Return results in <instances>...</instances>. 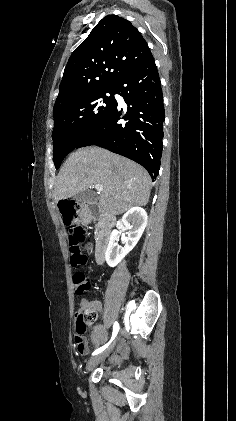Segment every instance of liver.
I'll return each mask as SVG.
<instances>
[{"label": "liver", "mask_w": 236, "mask_h": 421, "mask_svg": "<svg viewBox=\"0 0 236 421\" xmlns=\"http://www.w3.org/2000/svg\"><path fill=\"white\" fill-rule=\"evenodd\" d=\"M54 184L55 202L93 184H102L98 196L101 213L115 217L132 206H145L152 182L149 172L134 160L99 146H89L71 152Z\"/></svg>", "instance_id": "1"}]
</instances>
